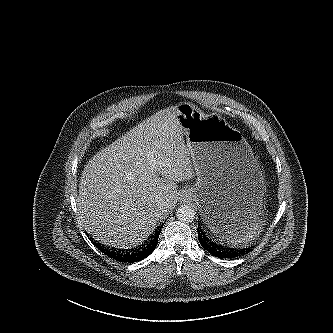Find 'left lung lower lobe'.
I'll return each instance as SVG.
<instances>
[{
  "label": "left lung lower lobe",
  "instance_id": "obj_1",
  "mask_svg": "<svg viewBox=\"0 0 333 333\" xmlns=\"http://www.w3.org/2000/svg\"><path fill=\"white\" fill-rule=\"evenodd\" d=\"M218 233L212 228L199 225L198 227V240L201 246L207 250L210 254L219 258H232L239 256L243 253V250H236L228 248L221 244L219 237H216ZM244 254V253H243Z\"/></svg>",
  "mask_w": 333,
  "mask_h": 333
}]
</instances>
